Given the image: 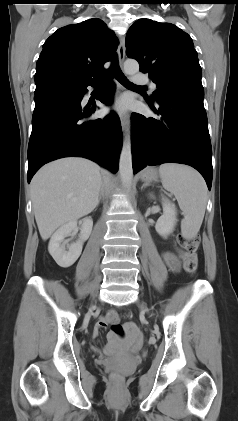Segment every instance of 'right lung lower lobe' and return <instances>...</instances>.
<instances>
[{
    "instance_id": "98d812e1",
    "label": "right lung lower lobe",
    "mask_w": 238,
    "mask_h": 421,
    "mask_svg": "<svg viewBox=\"0 0 238 421\" xmlns=\"http://www.w3.org/2000/svg\"><path fill=\"white\" fill-rule=\"evenodd\" d=\"M95 83L43 81L36 84L28 145V182L45 163L69 156L88 158L113 173L118 171L122 146L119 117L110 113L104 118L87 120L96 106L81 105L87 86ZM114 89L111 83L98 99L110 104Z\"/></svg>"
}]
</instances>
